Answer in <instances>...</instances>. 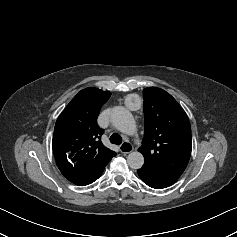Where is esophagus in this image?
I'll return each mask as SVG.
<instances>
[{
  "mask_svg": "<svg viewBox=\"0 0 237 237\" xmlns=\"http://www.w3.org/2000/svg\"><path fill=\"white\" fill-rule=\"evenodd\" d=\"M120 152L123 154H128L133 151V146L131 143L125 142L119 146Z\"/></svg>",
  "mask_w": 237,
  "mask_h": 237,
  "instance_id": "obj_1",
  "label": "esophagus"
}]
</instances>
